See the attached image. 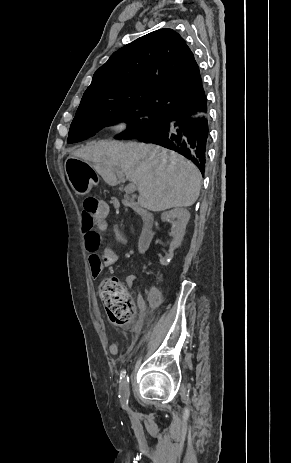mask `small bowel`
Segmentation results:
<instances>
[{"mask_svg": "<svg viewBox=\"0 0 291 463\" xmlns=\"http://www.w3.org/2000/svg\"><path fill=\"white\" fill-rule=\"evenodd\" d=\"M108 229V222L106 217H98L97 218V227L96 229H83V246L84 250L89 254L88 257V266H89V273L93 279H98L104 268L111 267L115 265L121 255L118 254L114 249L108 247L105 248L102 252H100L101 243H102V235ZM117 235V239L125 243L126 238L125 236L119 231L118 228L114 229ZM129 254V252H127ZM136 282L135 275H128L125 278V283L128 287H132ZM138 317L139 322L142 321L144 316V301L142 296L140 295L138 298ZM120 352V346L118 343L113 344L110 347V353L113 355H117Z\"/></svg>", "mask_w": 291, "mask_h": 463, "instance_id": "1", "label": "small bowel"}]
</instances>
